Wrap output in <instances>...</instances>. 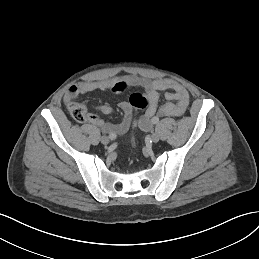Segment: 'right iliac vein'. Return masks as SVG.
I'll return each mask as SVG.
<instances>
[{
    "instance_id": "right-iliac-vein-1",
    "label": "right iliac vein",
    "mask_w": 259,
    "mask_h": 259,
    "mask_svg": "<svg viewBox=\"0 0 259 259\" xmlns=\"http://www.w3.org/2000/svg\"><path fill=\"white\" fill-rule=\"evenodd\" d=\"M109 141H110V139H109V137H107V136H102L101 137V143L102 144H108L109 143Z\"/></svg>"
}]
</instances>
